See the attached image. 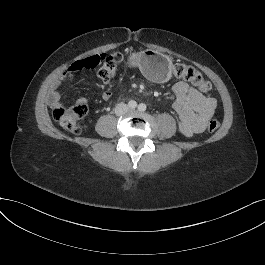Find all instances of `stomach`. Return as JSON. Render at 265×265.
I'll use <instances>...</instances> for the list:
<instances>
[{"label": "stomach", "mask_w": 265, "mask_h": 265, "mask_svg": "<svg viewBox=\"0 0 265 265\" xmlns=\"http://www.w3.org/2000/svg\"><path fill=\"white\" fill-rule=\"evenodd\" d=\"M128 63L138 67L148 79L155 82H166L171 77V59L153 50L131 54Z\"/></svg>", "instance_id": "stomach-1"}]
</instances>
